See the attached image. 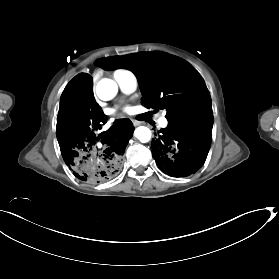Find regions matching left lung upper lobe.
Masks as SVG:
<instances>
[{"label":"left lung upper lobe","mask_w":279,"mask_h":279,"mask_svg":"<svg viewBox=\"0 0 279 279\" xmlns=\"http://www.w3.org/2000/svg\"><path fill=\"white\" fill-rule=\"evenodd\" d=\"M94 64L108 71L118 68L132 71L142 91V104L153 112L165 109L169 123L213 117L204 81L182 59L151 52L102 58Z\"/></svg>","instance_id":"1"}]
</instances>
